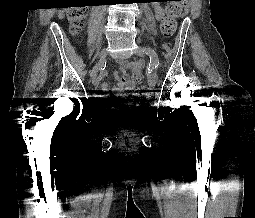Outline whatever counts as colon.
<instances>
[{
    "instance_id": "colon-1",
    "label": "colon",
    "mask_w": 255,
    "mask_h": 218,
    "mask_svg": "<svg viewBox=\"0 0 255 218\" xmlns=\"http://www.w3.org/2000/svg\"><path fill=\"white\" fill-rule=\"evenodd\" d=\"M185 0H170L166 8V16L162 22L161 30L165 37L173 35L176 29V19L180 15ZM87 10L84 7H73L68 10V19L70 21V30L73 34L79 33L85 23ZM145 92V89H142Z\"/></svg>"
}]
</instances>
